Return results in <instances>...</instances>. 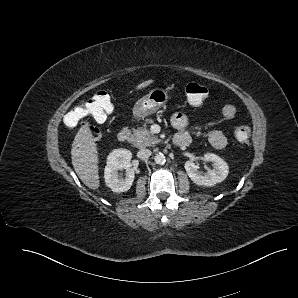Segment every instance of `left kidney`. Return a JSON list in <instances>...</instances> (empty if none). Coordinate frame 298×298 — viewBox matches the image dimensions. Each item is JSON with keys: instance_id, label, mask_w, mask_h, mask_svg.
I'll use <instances>...</instances> for the list:
<instances>
[{"instance_id": "5707ae66", "label": "left kidney", "mask_w": 298, "mask_h": 298, "mask_svg": "<svg viewBox=\"0 0 298 298\" xmlns=\"http://www.w3.org/2000/svg\"><path fill=\"white\" fill-rule=\"evenodd\" d=\"M204 160L213 163V169H208L205 174L198 171L197 165L191 161H186L184 168L189 178L197 185L214 186L226 179L229 173L228 164L213 153H206Z\"/></svg>"}]
</instances>
